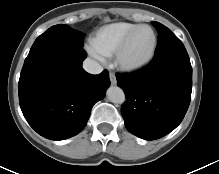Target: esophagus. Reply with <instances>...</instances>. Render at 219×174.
Returning <instances> with one entry per match:
<instances>
[{"label":"esophagus","mask_w":219,"mask_h":174,"mask_svg":"<svg viewBox=\"0 0 219 174\" xmlns=\"http://www.w3.org/2000/svg\"><path fill=\"white\" fill-rule=\"evenodd\" d=\"M109 78H110V81L113 85H115L117 83L116 76L113 72L109 73Z\"/></svg>","instance_id":"1"}]
</instances>
